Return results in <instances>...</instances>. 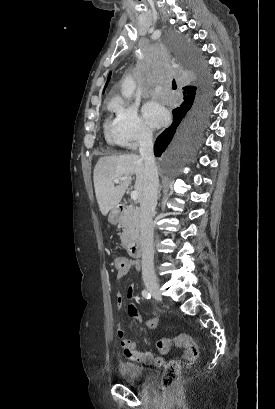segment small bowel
<instances>
[{"label":"small bowel","mask_w":275,"mask_h":409,"mask_svg":"<svg viewBox=\"0 0 275 409\" xmlns=\"http://www.w3.org/2000/svg\"><path fill=\"white\" fill-rule=\"evenodd\" d=\"M124 259V258H123ZM124 265H125V272L129 271V269L134 268L138 269L139 264L136 262H131L127 259H124ZM124 273H116L115 274V279L116 280H121L122 279V274ZM126 296L128 298H133L135 296V285L131 283L126 291ZM115 304L118 309H121L124 304V297L121 294H117L115 297ZM128 314L133 318V321L135 323H138L140 321V318L138 317V310L135 305L130 304L128 305L127 308ZM158 318L157 317H152L149 318L148 320H143L142 321V326L147 327L149 329H155L158 325ZM118 326L122 325L121 321L117 322ZM118 339H119V345L121 346V349L123 351H127L126 353V358L128 360H137L141 362L142 364H148V365H154V366H161L163 364V358L162 357H155L151 353H140L138 352L137 346L139 345V340L137 338H132V337H125V331L124 330H119L118 331Z\"/></svg>","instance_id":"obj_1"}]
</instances>
